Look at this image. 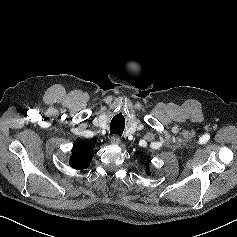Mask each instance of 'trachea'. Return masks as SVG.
I'll return each instance as SVG.
<instances>
[{
	"label": "trachea",
	"mask_w": 237,
	"mask_h": 237,
	"mask_svg": "<svg viewBox=\"0 0 237 237\" xmlns=\"http://www.w3.org/2000/svg\"><path fill=\"white\" fill-rule=\"evenodd\" d=\"M123 130H124L123 126L111 123L110 134H117L118 136H121Z\"/></svg>",
	"instance_id": "trachea-1"
}]
</instances>
